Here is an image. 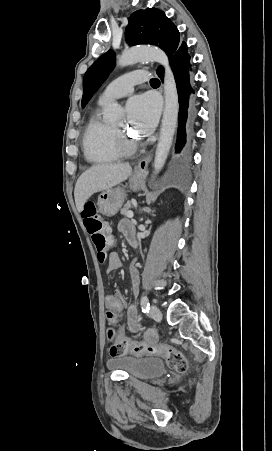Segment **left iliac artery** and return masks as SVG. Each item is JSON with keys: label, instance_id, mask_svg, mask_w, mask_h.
Wrapping results in <instances>:
<instances>
[{"label": "left iliac artery", "instance_id": "44dca946", "mask_svg": "<svg viewBox=\"0 0 272 451\" xmlns=\"http://www.w3.org/2000/svg\"><path fill=\"white\" fill-rule=\"evenodd\" d=\"M149 308H150L149 300H148L147 296H143L142 299H141V309H142V312H143L144 314H145V313H148V312H149Z\"/></svg>", "mask_w": 272, "mask_h": 451}]
</instances>
